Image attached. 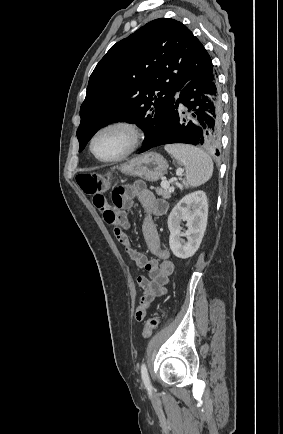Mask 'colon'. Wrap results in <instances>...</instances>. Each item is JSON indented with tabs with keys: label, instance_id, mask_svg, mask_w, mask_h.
<instances>
[{
	"label": "colon",
	"instance_id": "colon-1",
	"mask_svg": "<svg viewBox=\"0 0 283 434\" xmlns=\"http://www.w3.org/2000/svg\"><path fill=\"white\" fill-rule=\"evenodd\" d=\"M76 181L81 190L89 196H95L96 194L101 193L107 185L105 177L98 173H80L77 175ZM159 319L160 317L156 315L146 320L142 330V337L144 339H147L152 335L159 323Z\"/></svg>",
	"mask_w": 283,
	"mask_h": 434
}]
</instances>
